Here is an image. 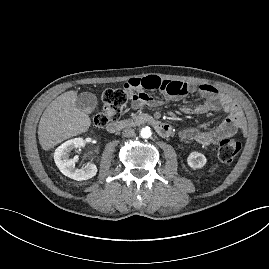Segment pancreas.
<instances>
[{"label": "pancreas", "mask_w": 269, "mask_h": 269, "mask_svg": "<svg viewBox=\"0 0 269 269\" xmlns=\"http://www.w3.org/2000/svg\"><path fill=\"white\" fill-rule=\"evenodd\" d=\"M144 117V114H133L131 118L125 120V123L138 125L143 122Z\"/></svg>", "instance_id": "pancreas-1"}]
</instances>
